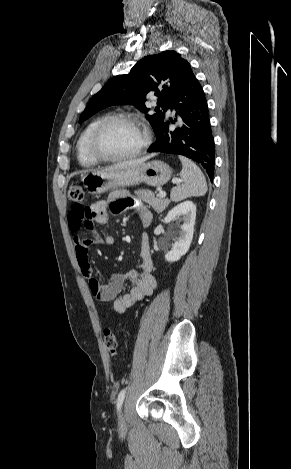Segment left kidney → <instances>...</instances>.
I'll return each mask as SVG.
<instances>
[{
	"instance_id": "obj_1",
	"label": "left kidney",
	"mask_w": 291,
	"mask_h": 469,
	"mask_svg": "<svg viewBox=\"0 0 291 469\" xmlns=\"http://www.w3.org/2000/svg\"><path fill=\"white\" fill-rule=\"evenodd\" d=\"M195 218L196 206L192 201L182 202L168 212L164 218L165 223L178 219L183 221V224L181 225L180 230L176 233L172 249L165 255L166 261H178L188 252L193 239Z\"/></svg>"
}]
</instances>
